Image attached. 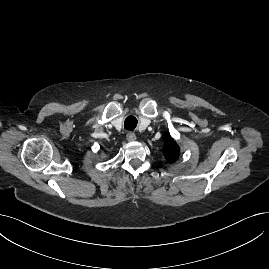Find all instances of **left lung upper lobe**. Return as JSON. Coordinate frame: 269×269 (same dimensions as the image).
Instances as JSON below:
<instances>
[{
    "instance_id": "obj_1",
    "label": "left lung upper lobe",
    "mask_w": 269,
    "mask_h": 269,
    "mask_svg": "<svg viewBox=\"0 0 269 269\" xmlns=\"http://www.w3.org/2000/svg\"><path fill=\"white\" fill-rule=\"evenodd\" d=\"M179 152V146L177 145V143L171 138L167 139L163 148L165 158L170 163H173L179 157Z\"/></svg>"
}]
</instances>
